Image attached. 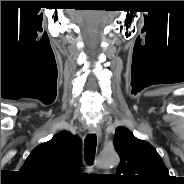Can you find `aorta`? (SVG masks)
Instances as JSON below:
<instances>
[{
	"label": "aorta",
	"instance_id": "aorta-1",
	"mask_svg": "<svg viewBox=\"0 0 184 184\" xmlns=\"http://www.w3.org/2000/svg\"><path fill=\"white\" fill-rule=\"evenodd\" d=\"M119 156L115 151H103L97 161V165L102 168H109L118 165Z\"/></svg>",
	"mask_w": 184,
	"mask_h": 184
}]
</instances>
